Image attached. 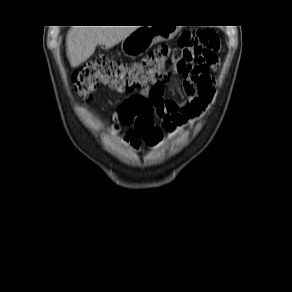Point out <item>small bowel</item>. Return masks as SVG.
I'll return each mask as SVG.
<instances>
[{"instance_id": "c3829d8e", "label": "small bowel", "mask_w": 292, "mask_h": 292, "mask_svg": "<svg viewBox=\"0 0 292 292\" xmlns=\"http://www.w3.org/2000/svg\"><path fill=\"white\" fill-rule=\"evenodd\" d=\"M215 46L209 58L197 63L193 70L184 76L183 89L186 99L183 101L168 100L161 92L160 102L157 107L154 127L160 133V140L164 134H171L176 129L189 124L205 110L214 94V79L211 71L218 66L217 50ZM124 140L135 150L144 142L142 132L135 126L126 132Z\"/></svg>"}]
</instances>
